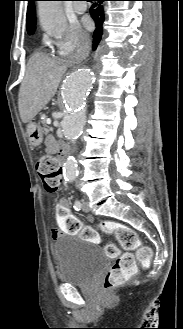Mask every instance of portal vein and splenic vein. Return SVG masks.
<instances>
[{
  "label": "portal vein and splenic vein",
  "mask_w": 183,
  "mask_h": 329,
  "mask_svg": "<svg viewBox=\"0 0 183 329\" xmlns=\"http://www.w3.org/2000/svg\"><path fill=\"white\" fill-rule=\"evenodd\" d=\"M46 123H47V124H51V119L48 118V119L46 120Z\"/></svg>",
  "instance_id": "1"
}]
</instances>
